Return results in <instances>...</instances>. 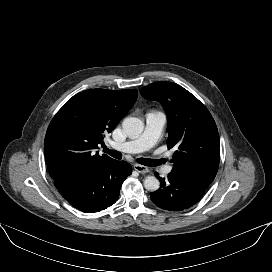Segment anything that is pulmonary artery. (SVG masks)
Segmentation results:
<instances>
[{
	"mask_svg": "<svg viewBox=\"0 0 272 272\" xmlns=\"http://www.w3.org/2000/svg\"><path fill=\"white\" fill-rule=\"evenodd\" d=\"M146 125L143 133L124 143H113V147L123 152L137 153L149 150L159 140L166 124V115L161 111H152L146 114ZM171 172V167L165 169Z\"/></svg>",
	"mask_w": 272,
	"mask_h": 272,
	"instance_id": "obj_1",
	"label": "pulmonary artery"
}]
</instances>
